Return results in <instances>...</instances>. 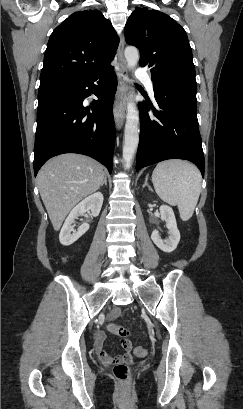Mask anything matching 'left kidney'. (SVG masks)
Listing matches in <instances>:
<instances>
[{
	"label": "left kidney",
	"mask_w": 243,
	"mask_h": 409,
	"mask_svg": "<svg viewBox=\"0 0 243 409\" xmlns=\"http://www.w3.org/2000/svg\"><path fill=\"white\" fill-rule=\"evenodd\" d=\"M161 220L166 222L168 228L169 238L162 240L157 231H153L151 239L154 244L163 252L170 253L174 251L180 241V232L177 228L174 212L171 207L167 205L160 206Z\"/></svg>",
	"instance_id": "5707ae66"
}]
</instances>
